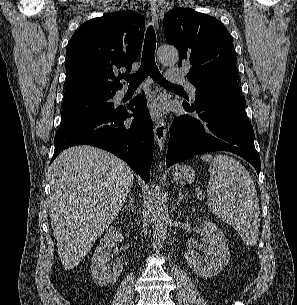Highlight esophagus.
<instances>
[{
  "label": "esophagus",
  "mask_w": 297,
  "mask_h": 305,
  "mask_svg": "<svg viewBox=\"0 0 297 305\" xmlns=\"http://www.w3.org/2000/svg\"><path fill=\"white\" fill-rule=\"evenodd\" d=\"M150 14L155 27H158L159 8L157 2L150 3ZM166 122L164 119H159L154 123V139L160 151L163 150L166 139Z\"/></svg>",
  "instance_id": "obj_1"
}]
</instances>
